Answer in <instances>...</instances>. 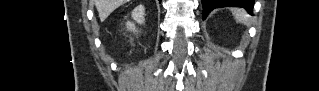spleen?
<instances>
[{
	"label": "spleen",
	"mask_w": 319,
	"mask_h": 91,
	"mask_svg": "<svg viewBox=\"0 0 319 91\" xmlns=\"http://www.w3.org/2000/svg\"><path fill=\"white\" fill-rule=\"evenodd\" d=\"M232 13L237 22L243 23V24H249V19L246 13L244 12V10L234 8L232 9Z\"/></svg>",
	"instance_id": "1"
}]
</instances>
